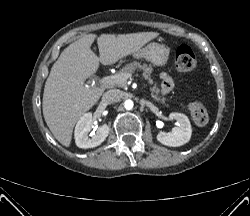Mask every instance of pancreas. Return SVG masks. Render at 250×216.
<instances>
[{
  "mask_svg": "<svg viewBox=\"0 0 250 216\" xmlns=\"http://www.w3.org/2000/svg\"><path fill=\"white\" fill-rule=\"evenodd\" d=\"M136 70L142 71L143 72V77L151 85L150 90H151L152 97L155 100L161 101L163 104H165L166 101H167V99L165 97H161L159 95L160 94V90L157 87V84L154 83L153 76H152L153 68L151 66H147L145 63L142 64L140 62H132L130 64H127L122 69H120V71H118L116 73V75L131 74V73H134ZM115 85L118 86V87H125L126 86V82L117 83Z\"/></svg>",
  "mask_w": 250,
  "mask_h": 216,
  "instance_id": "pancreas-1",
  "label": "pancreas"
}]
</instances>
